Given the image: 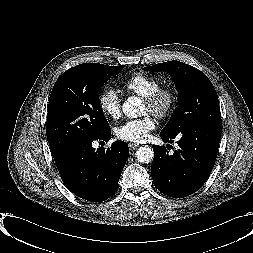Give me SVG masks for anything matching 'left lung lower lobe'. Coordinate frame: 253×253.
Segmentation results:
<instances>
[{"instance_id":"0a47b994","label":"left lung lower lobe","mask_w":253,"mask_h":253,"mask_svg":"<svg viewBox=\"0 0 253 253\" xmlns=\"http://www.w3.org/2000/svg\"><path fill=\"white\" fill-rule=\"evenodd\" d=\"M222 125L194 124L174 136L160 134L164 142L177 143L179 149L167 154L164 146L153 145L151 174L155 187L163 194L183 198L199 190L215 164Z\"/></svg>"}]
</instances>
